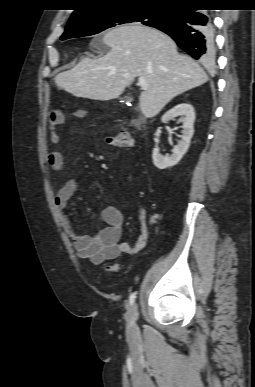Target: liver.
Listing matches in <instances>:
<instances>
[{"mask_svg":"<svg viewBox=\"0 0 255 387\" xmlns=\"http://www.w3.org/2000/svg\"><path fill=\"white\" fill-rule=\"evenodd\" d=\"M110 51L82 59L55 77L59 88L76 97L107 101L118 98L136 77L147 89L139 96L146 118L156 116L174 97L208 81L205 71L187 55L177 52L165 33L140 24L119 26L102 38Z\"/></svg>","mask_w":255,"mask_h":387,"instance_id":"1","label":"liver"}]
</instances>
